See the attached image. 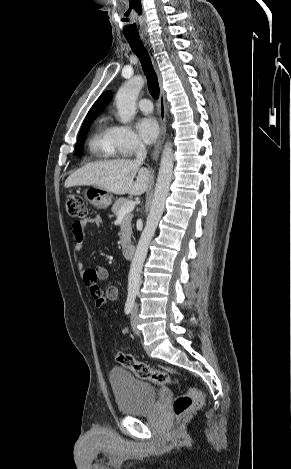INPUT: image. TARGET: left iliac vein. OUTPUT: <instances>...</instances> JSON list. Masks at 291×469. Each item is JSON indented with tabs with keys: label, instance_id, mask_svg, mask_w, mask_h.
<instances>
[{
	"label": "left iliac vein",
	"instance_id": "4c4485c4",
	"mask_svg": "<svg viewBox=\"0 0 291 469\" xmlns=\"http://www.w3.org/2000/svg\"><path fill=\"white\" fill-rule=\"evenodd\" d=\"M130 320H131V326H132L133 331L135 332V334L140 335V330L138 328V305L137 304H135L132 309Z\"/></svg>",
	"mask_w": 291,
	"mask_h": 469
}]
</instances>
